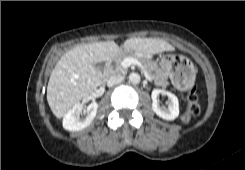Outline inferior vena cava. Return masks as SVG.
Returning a JSON list of instances; mask_svg holds the SVG:
<instances>
[{"label":"inferior vena cava","instance_id":"inferior-vena-cava-1","mask_svg":"<svg viewBox=\"0 0 245 170\" xmlns=\"http://www.w3.org/2000/svg\"><path fill=\"white\" fill-rule=\"evenodd\" d=\"M124 80V76L122 75H114L111 76L108 80H107V86L108 87H112L118 83H121Z\"/></svg>","mask_w":245,"mask_h":170}]
</instances>
